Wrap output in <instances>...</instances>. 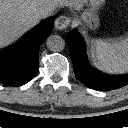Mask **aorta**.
<instances>
[{"label":"aorta","instance_id":"aorta-1","mask_svg":"<svg viewBox=\"0 0 128 128\" xmlns=\"http://www.w3.org/2000/svg\"><path fill=\"white\" fill-rule=\"evenodd\" d=\"M46 45L50 51L59 52L65 46L64 39L59 35H50L47 38Z\"/></svg>","mask_w":128,"mask_h":128}]
</instances>
